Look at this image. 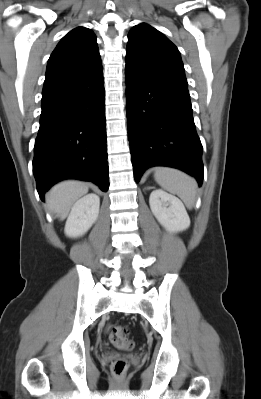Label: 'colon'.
<instances>
[{
  "label": "colon",
  "mask_w": 261,
  "mask_h": 399,
  "mask_svg": "<svg viewBox=\"0 0 261 399\" xmlns=\"http://www.w3.org/2000/svg\"><path fill=\"white\" fill-rule=\"evenodd\" d=\"M127 333L128 330L120 325H112L108 330L109 339L115 347L123 350H132L135 347V343L133 340L128 339ZM127 369L128 364L124 359H118L112 364V372L117 376L124 375Z\"/></svg>",
  "instance_id": "colon-1"
}]
</instances>
